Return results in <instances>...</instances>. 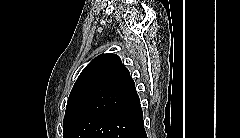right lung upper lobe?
I'll return each instance as SVG.
<instances>
[{
    "instance_id": "right-lung-upper-lobe-1",
    "label": "right lung upper lobe",
    "mask_w": 240,
    "mask_h": 138,
    "mask_svg": "<svg viewBox=\"0 0 240 138\" xmlns=\"http://www.w3.org/2000/svg\"><path fill=\"white\" fill-rule=\"evenodd\" d=\"M138 97L135 83L116 54H101L81 72L68 98L65 117L82 112L109 114Z\"/></svg>"
}]
</instances>
